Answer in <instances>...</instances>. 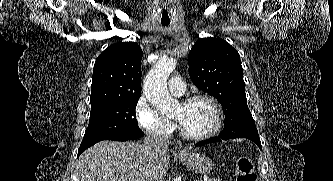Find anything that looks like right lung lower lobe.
Segmentation results:
<instances>
[{
	"instance_id": "right-lung-lower-lobe-1",
	"label": "right lung lower lobe",
	"mask_w": 333,
	"mask_h": 181,
	"mask_svg": "<svg viewBox=\"0 0 333 181\" xmlns=\"http://www.w3.org/2000/svg\"><path fill=\"white\" fill-rule=\"evenodd\" d=\"M128 140H132V139H122V140H118V141H128ZM97 142H99V141L93 142L91 144L80 146V148L78 150V157L83 151H85L87 148H89L90 146L94 145Z\"/></svg>"
}]
</instances>
